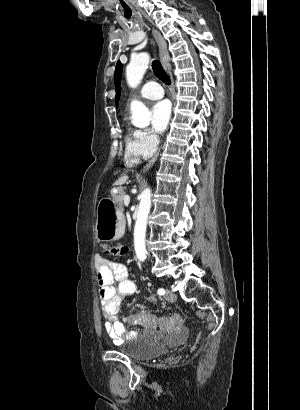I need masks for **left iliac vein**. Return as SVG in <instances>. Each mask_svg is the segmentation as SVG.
Returning <instances> with one entry per match:
<instances>
[{
  "label": "left iliac vein",
  "mask_w": 300,
  "mask_h": 410,
  "mask_svg": "<svg viewBox=\"0 0 300 410\" xmlns=\"http://www.w3.org/2000/svg\"><path fill=\"white\" fill-rule=\"evenodd\" d=\"M165 299L167 301L173 302L177 299V296L169 289L166 290Z\"/></svg>",
  "instance_id": "left-iliac-vein-1"
}]
</instances>
